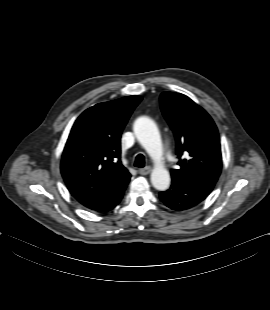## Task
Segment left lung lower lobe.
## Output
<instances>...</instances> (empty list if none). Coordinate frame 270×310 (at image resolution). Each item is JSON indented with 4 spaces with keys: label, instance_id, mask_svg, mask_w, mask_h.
<instances>
[{
    "label": "left lung lower lobe",
    "instance_id": "left-lung-lower-lobe-1",
    "mask_svg": "<svg viewBox=\"0 0 270 310\" xmlns=\"http://www.w3.org/2000/svg\"><path fill=\"white\" fill-rule=\"evenodd\" d=\"M212 189L172 178L171 188L160 192V199L169 208L182 211L198 205L210 194Z\"/></svg>",
    "mask_w": 270,
    "mask_h": 310
}]
</instances>
